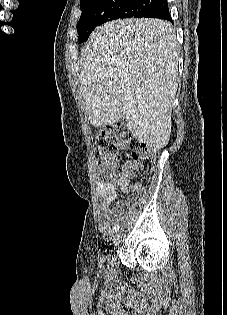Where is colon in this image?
<instances>
[{
	"label": "colon",
	"instance_id": "colon-1",
	"mask_svg": "<svg viewBox=\"0 0 227 315\" xmlns=\"http://www.w3.org/2000/svg\"><path fill=\"white\" fill-rule=\"evenodd\" d=\"M96 145L100 151V158L96 161L97 178L101 182H110L114 178V165L122 149L130 151L125 169L127 174H147L154 169L157 149L139 141L122 124L104 127L96 138Z\"/></svg>",
	"mask_w": 227,
	"mask_h": 315
}]
</instances>
